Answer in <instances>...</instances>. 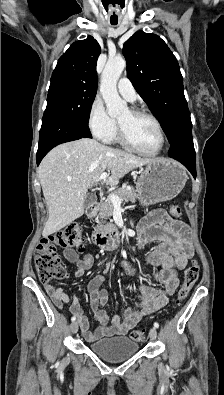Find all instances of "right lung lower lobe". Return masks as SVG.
Here are the masks:
<instances>
[{"instance_id": "obj_1", "label": "right lung lower lobe", "mask_w": 224, "mask_h": 395, "mask_svg": "<svg viewBox=\"0 0 224 395\" xmlns=\"http://www.w3.org/2000/svg\"><path fill=\"white\" fill-rule=\"evenodd\" d=\"M86 137L92 136L89 128L84 124L57 113L45 112L40 129L37 165L58 144Z\"/></svg>"}]
</instances>
